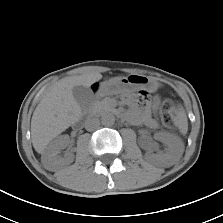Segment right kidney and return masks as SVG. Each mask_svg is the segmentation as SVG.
<instances>
[{
	"instance_id": "ca27d5eb",
	"label": "right kidney",
	"mask_w": 223,
	"mask_h": 223,
	"mask_svg": "<svg viewBox=\"0 0 223 223\" xmlns=\"http://www.w3.org/2000/svg\"><path fill=\"white\" fill-rule=\"evenodd\" d=\"M69 143V136L62 135L50 143L42 155V163L48 169H53L58 165H69L74 158L70 154L64 158L59 157L60 150L65 148Z\"/></svg>"
}]
</instances>
